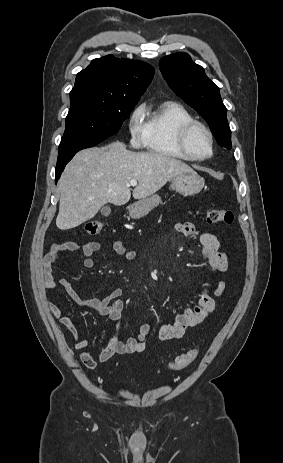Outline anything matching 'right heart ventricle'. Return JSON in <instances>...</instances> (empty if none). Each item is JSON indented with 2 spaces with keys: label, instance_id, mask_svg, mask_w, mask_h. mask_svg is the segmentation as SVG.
Here are the masks:
<instances>
[{
  "label": "right heart ventricle",
  "instance_id": "1",
  "mask_svg": "<svg viewBox=\"0 0 283 463\" xmlns=\"http://www.w3.org/2000/svg\"><path fill=\"white\" fill-rule=\"evenodd\" d=\"M144 124L145 148L153 154L180 160H190L178 146L180 129L194 120L190 111L175 101H165L146 109Z\"/></svg>",
  "mask_w": 283,
  "mask_h": 463
}]
</instances>
